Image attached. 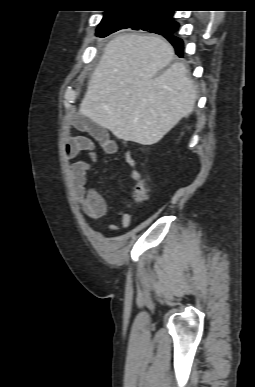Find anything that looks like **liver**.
<instances>
[{"instance_id":"obj_1","label":"liver","mask_w":255,"mask_h":387,"mask_svg":"<svg viewBox=\"0 0 255 387\" xmlns=\"http://www.w3.org/2000/svg\"><path fill=\"white\" fill-rule=\"evenodd\" d=\"M173 57L174 48L162 37L116 36L91 76L80 114L124 141L159 142L193 111L197 97L183 63L165 69Z\"/></svg>"}]
</instances>
